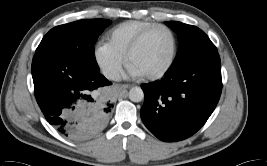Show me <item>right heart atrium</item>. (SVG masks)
I'll return each mask as SVG.
<instances>
[{"instance_id": "d8ad5b80", "label": "right heart atrium", "mask_w": 267, "mask_h": 166, "mask_svg": "<svg viewBox=\"0 0 267 166\" xmlns=\"http://www.w3.org/2000/svg\"><path fill=\"white\" fill-rule=\"evenodd\" d=\"M95 58L99 66L107 73H117L122 65L123 58L110 45L99 43L95 47Z\"/></svg>"}]
</instances>
